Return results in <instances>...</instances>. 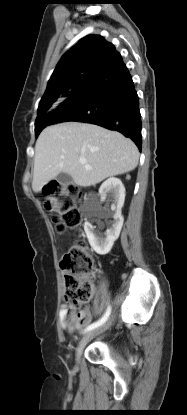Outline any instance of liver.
Instances as JSON below:
<instances>
[{"label":"liver","mask_w":187,"mask_h":415,"mask_svg":"<svg viewBox=\"0 0 187 415\" xmlns=\"http://www.w3.org/2000/svg\"><path fill=\"white\" fill-rule=\"evenodd\" d=\"M81 158L91 169L80 163ZM138 159L134 142L119 132L79 122L52 125L36 141L32 189L40 192L61 172L69 174L78 186H94L134 170Z\"/></svg>","instance_id":"6515ba94"}]
</instances>
